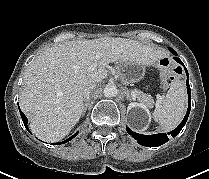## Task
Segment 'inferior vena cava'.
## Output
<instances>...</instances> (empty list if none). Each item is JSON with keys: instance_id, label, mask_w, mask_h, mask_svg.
<instances>
[{"instance_id": "inferior-vena-cava-1", "label": "inferior vena cava", "mask_w": 209, "mask_h": 179, "mask_svg": "<svg viewBox=\"0 0 209 179\" xmlns=\"http://www.w3.org/2000/svg\"><path fill=\"white\" fill-rule=\"evenodd\" d=\"M95 87H96V83H95V84H92V85L89 87V89L86 91V93H85L84 96H83L84 101H87V100L89 99L90 94H91V92L95 89Z\"/></svg>"}]
</instances>
